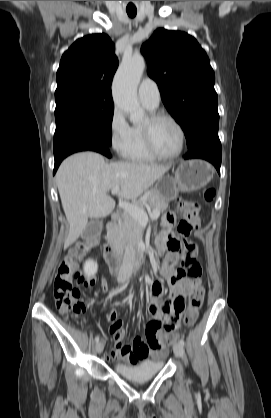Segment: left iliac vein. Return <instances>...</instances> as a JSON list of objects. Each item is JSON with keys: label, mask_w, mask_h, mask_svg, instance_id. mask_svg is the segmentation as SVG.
Returning <instances> with one entry per match:
<instances>
[{"label": "left iliac vein", "mask_w": 271, "mask_h": 418, "mask_svg": "<svg viewBox=\"0 0 271 418\" xmlns=\"http://www.w3.org/2000/svg\"><path fill=\"white\" fill-rule=\"evenodd\" d=\"M173 351L177 357L184 358L185 351H184L183 346L180 343H175L173 345Z\"/></svg>", "instance_id": "4c4485c4"}]
</instances>
